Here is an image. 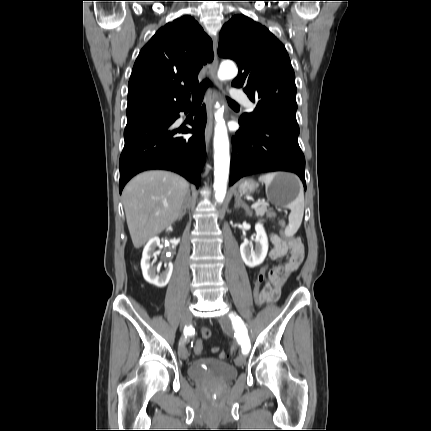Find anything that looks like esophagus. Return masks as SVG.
Instances as JSON below:
<instances>
[{"mask_svg":"<svg viewBox=\"0 0 431 431\" xmlns=\"http://www.w3.org/2000/svg\"><path fill=\"white\" fill-rule=\"evenodd\" d=\"M217 45H218V38L217 36L213 37V50H214V59L212 63L209 65V76L210 80L213 82L214 85H217V78L216 73L218 69V57H217ZM217 98V93L215 88H210L208 90L207 96H206V103H207V124L205 128V141L208 145L210 143L212 133H213V123H214V103Z\"/></svg>","mask_w":431,"mask_h":431,"instance_id":"esophagus-1","label":"esophagus"}]
</instances>
